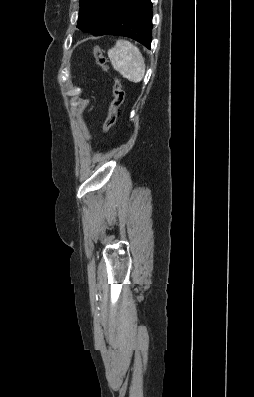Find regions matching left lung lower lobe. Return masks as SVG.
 I'll return each instance as SVG.
<instances>
[{
  "label": "left lung lower lobe",
  "instance_id": "left-lung-lower-lobe-1",
  "mask_svg": "<svg viewBox=\"0 0 254 397\" xmlns=\"http://www.w3.org/2000/svg\"><path fill=\"white\" fill-rule=\"evenodd\" d=\"M107 9L94 36L120 35L135 39L150 48L152 40V3L150 0H107Z\"/></svg>",
  "mask_w": 254,
  "mask_h": 397
}]
</instances>
